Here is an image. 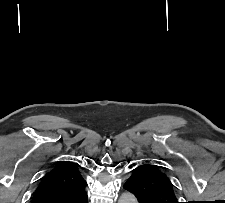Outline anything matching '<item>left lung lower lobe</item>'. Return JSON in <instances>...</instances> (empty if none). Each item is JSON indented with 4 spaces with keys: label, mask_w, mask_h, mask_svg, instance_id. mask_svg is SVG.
Masks as SVG:
<instances>
[{
    "label": "left lung lower lobe",
    "mask_w": 225,
    "mask_h": 203,
    "mask_svg": "<svg viewBox=\"0 0 225 203\" xmlns=\"http://www.w3.org/2000/svg\"><path fill=\"white\" fill-rule=\"evenodd\" d=\"M123 188L126 189L127 191L133 193L136 196L135 192L133 191L132 187L129 185V183L127 181L123 184ZM138 201H139V203H143L139 199H138Z\"/></svg>",
    "instance_id": "0a47b994"
}]
</instances>
